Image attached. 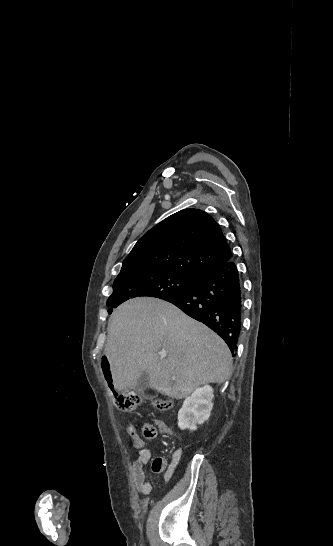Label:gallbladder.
<instances>
[{
  "mask_svg": "<svg viewBox=\"0 0 333 546\" xmlns=\"http://www.w3.org/2000/svg\"><path fill=\"white\" fill-rule=\"evenodd\" d=\"M134 390L141 396L148 398L151 397V395L148 393L150 390L149 375L146 372L140 375Z\"/></svg>",
  "mask_w": 333,
  "mask_h": 546,
  "instance_id": "1",
  "label": "gallbladder"
}]
</instances>
